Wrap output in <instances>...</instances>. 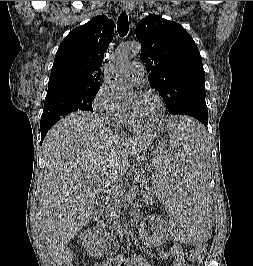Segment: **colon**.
<instances>
[{
  "label": "colon",
  "instance_id": "colon-1",
  "mask_svg": "<svg viewBox=\"0 0 253 266\" xmlns=\"http://www.w3.org/2000/svg\"><path fill=\"white\" fill-rule=\"evenodd\" d=\"M207 251V244L203 242V248H193L191 256L193 259L199 260L201 259ZM66 266H73L70 256H67L65 260Z\"/></svg>",
  "mask_w": 253,
  "mask_h": 266
}]
</instances>
